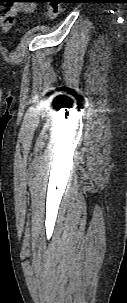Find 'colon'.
Wrapping results in <instances>:
<instances>
[{"mask_svg": "<svg viewBox=\"0 0 127 303\" xmlns=\"http://www.w3.org/2000/svg\"><path fill=\"white\" fill-rule=\"evenodd\" d=\"M48 15L51 19H55L61 12V6L57 0H48Z\"/></svg>", "mask_w": 127, "mask_h": 303, "instance_id": "colon-1", "label": "colon"}]
</instances>
